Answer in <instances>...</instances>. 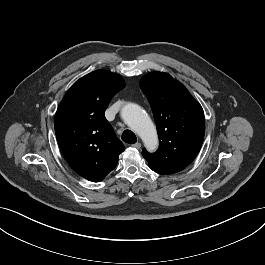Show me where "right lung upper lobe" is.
Segmentation results:
<instances>
[{
  "label": "right lung upper lobe",
  "mask_w": 265,
  "mask_h": 265,
  "mask_svg": "<svg viewBox=\"0 0 265 265\" xmlns=\"http://www.w3.org/2000/svg\"><path fill=\"white\" fill-rule=\"evenodd\" d=\"M124 87L120 75L93 71L70 87L55 114V133L64 158L89 181L103 180L124 151L104 115L113 96Z\"/></svg>",
  "instance_id": "1"
}]
</instances>
